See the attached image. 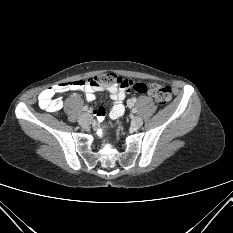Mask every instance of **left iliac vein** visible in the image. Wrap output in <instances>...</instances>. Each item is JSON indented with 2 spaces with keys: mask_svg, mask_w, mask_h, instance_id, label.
Masks as SVG:
<instances>
[{
  "mask_svg": "<svg viewBox=\"0 0 233 233\" xmlns=\"http://www.w3.org/2000/svg\"><path fill=\"white\" fill-rule=\"evenodd\" d=\"M132 125H133L134 127H136V128H140V127L143 125V120H142V118H141V117H138V116L134 117V118L132 119Z\"/></svg>",
  "mask_w": 233,
  "mask_h": 233,
  "instance_id": "left-iliac-vein-1",
  "label": "left iliac vein"
}]
</instances>
